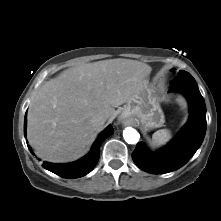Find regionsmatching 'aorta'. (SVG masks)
Masks as SVG:
<instances>
[{
  "label": "aorta",
  "mask_w": 221,
  "mask_h": 221,
  "mask_svg": "<svg viewBox=\"0 0 221 221\" xmlns=\"http://www.w3.org/2000/svg\"><path fill=\"white\" fill-rule=\"evenodd\" d=\"M123 137L128 144H136L139 141L140 135L134 128L126 127L123 130Z\"/></svg>",
  "instance_id": "aorta-1"
}]
</instances>
